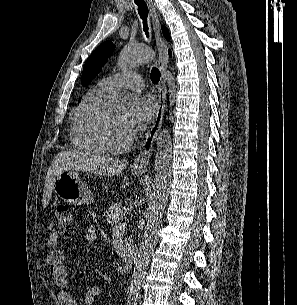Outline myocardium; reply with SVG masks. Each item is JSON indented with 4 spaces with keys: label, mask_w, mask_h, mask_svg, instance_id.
<instances>
[{
    "label": "myocardium",
    "mask_w": 297,
    "mask_h": 305,
    "mask_svg": "<svg viewBox=\"0 0 297 305\" xmlns=\"http://www.w3.org/2000/svg\"><path fill=\"white\" fill-rule=\"evenodd\" d=\"M98 134L104 147L111 152H115V153L124 152L128 150L133 143L132 139H129L123 143H117L114 141L110 127L109 114L107 111L103 113L100 119L98 126Z\"/></svg>",
    "instance_id": "1"
}]
</instances>
